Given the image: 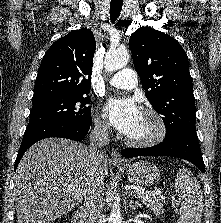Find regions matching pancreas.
<instances>
[{"mask_svg":"<svg viewBox=\"0 0 221 223\" xmlns=\"http://www.w3.org/2000/svg\"><path fill=\"white\" fill-rule=\"evenodd\" d=\"M143 204H145L150 210L153 211L155 215L162 214L164 212L163 204L164 201L163 196L159 195L156 196V194H151L149 196H142L140 197Z\"/></svg>","mask_w":221,"mask_h":223,"instance_id":"pancreas-1","label":"pancreas"}]
</instances>
